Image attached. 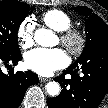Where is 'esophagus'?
I'll return each instance as SVG.
<instances>
[{"label": "esophagus", "mask_w": 108, "mask_h": 108, "mask_svg": "<svg viewBox=\"0 0 108 108\" xmlns=\"http://www.w3.org/2000/svg\"><path fill=\"white\" fill-rule=\"evenodd\" d=\"M39 80H40L41 82H48V81H50L49 78H45V77H39Z\"/></svg>", "instance_id": "1"}]
</instances>
